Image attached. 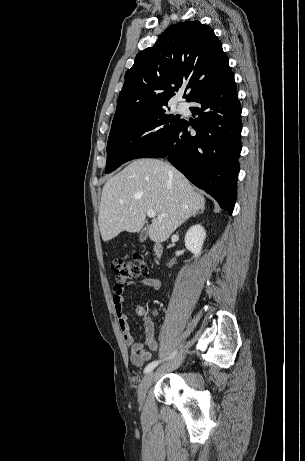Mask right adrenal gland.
Listing matches in <instances>:
<instances>
[{"instance_id":"obj_1","label":"right adrenal gland","mask_w":305,"mask_h":461,"mask_svg":"<svg viewBox=\"0 0 305 461\" xmlns=\"http://www.w3.org/2000/svg\"><path fill=\"white\" fill-rule=\"evenodd\" d=\"M203 211H204V210H200L199 212H197V213H195V214H193V215H191V216L195 217L196 215L203 213ZM191 216H190V217H191ZM190 217H189V218H190Z\"/></svg>"}]
</instances>
